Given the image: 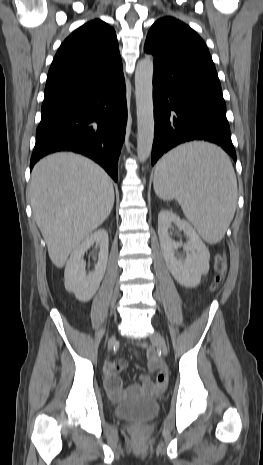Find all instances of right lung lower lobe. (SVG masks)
<instances>
[{"label": "right lung lower lobe", "instance_id": "obj_1", "mask_svg": "<svg viewBox=\"0 0 263 465\" xmlns=\"http://www.w3.org/2000/svg\"><path fill=\"white\" fill-rule=\"evenodd\" d=\"M126 122L123 73L100 83L45 94L30 170L47 154L73 151L93 159L117 181Z\"/></svg>", "mask_w": 263, "mask_h": 465}]
</instances>
